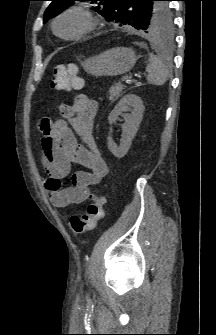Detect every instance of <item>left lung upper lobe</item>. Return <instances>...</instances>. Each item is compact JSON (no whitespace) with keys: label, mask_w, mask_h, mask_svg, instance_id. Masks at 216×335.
I'll return each mask as SVG.
<instances>
[{"label":"left lung upper lobe","mask_w":216,"mask_h":335,"mask_svg":"<svg viewBox=\"0 0 216 335\" xmlns=\"http://www.w3.org/2000/svg\"><path fill=\"white\" fill-rule=\"evenodd\" d=\"M44 13V22L57 16L76 0H50ZM96 3L94 8L106 20L119 26H131L150 34H168L172 31L173 18L168 0H87Z\"/></svg>","instance_id":"1"}]
</instances>
